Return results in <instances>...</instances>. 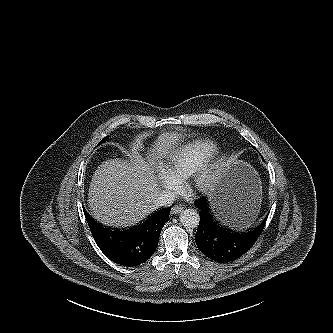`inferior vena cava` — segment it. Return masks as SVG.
Masks as SVG:
<instances>
[{
    "label": "inferior vena cava",
    "mask_w": 333,
    "mask_h": 333,
    "mask_svg": "<svg viewBox=\"0 0 333 333\" xmlns=\"http://www.w3.org/2000/svg\"><path fill=\"white\" fill-rule=\"evenodd\" d=\"M175 200V195L170 191H160L153 198L155 207H169Z\"/></svg>",
    "instance_id": "obj_1"
}]
</instances>
